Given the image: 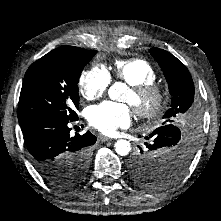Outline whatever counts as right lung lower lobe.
<instances>
[{
  "label": "right lung lower lobe",
  "instance_id": "1",
  "mask_svg": "<svg viewBox=\"0 0 221 221\" xmlns=\"http://www.w3.org/2000/svg\"><path fill=\"white\" fill-rule=\"evenodd\" d=\"M78 120L51 114L31 116L20 123L33 164L42 175L47 167L59 165L67 155L88 149L96 142L89 131L70 137L68 123Z\"/></svg>",
  "mask_w": 221,
  "mask_h": 221
}]
</instances>
